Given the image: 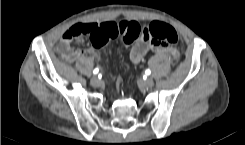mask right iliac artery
Instances as JSON below:
<instances>
[{
  "instance_id": "right-iliac-artery-1",
  "label": "right iliac artery",
  "mask_w": 245,
  "mask_h": 145,
  "mask_svg": "<svg viewBox=\"0 0 245 145\" xmlns=\"http://www.w3.org/2000/svg\"><path fill=\"white\" fill-rule=\"evenodd\" d=\"M98 72H99L98 68L94 69V71H93L94 74H97Z\"/></svg>"
}]
</instances>
